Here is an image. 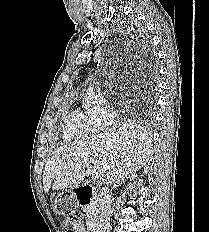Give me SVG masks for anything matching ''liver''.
I'll return each mask as SVG.
<instances>
[{"mask_svg":"<svg viewBox=\"0 0 209 232\" xmlns=\"http://www.w3.org/2000/svg\"><path fill=\"white\" fill-rule=\"evenodd\" d=\"M151 153V139L136 125H118L86 136L52 153L43 172L44 191L78 187L88 167L99 173V185H115L140 170Z\"/></svg>","mask_w":209,"mask_h":232,"instance_id":"obj_1","label":"liver"}]
</instances>
